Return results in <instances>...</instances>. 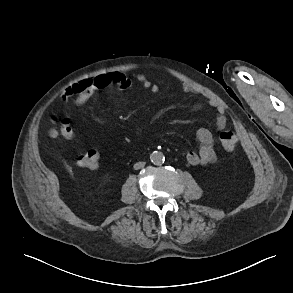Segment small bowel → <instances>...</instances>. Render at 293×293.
I'll list each match as a JSON object with an SVG mask.
<instances>
[{
  "instance_id": "c3829d8e",
  "label": "small bowel",
  "mask_w": 293,
  "mask_h": 293,
  "mask_svg": "<svg viewBox=\"0 0 293 293\" xmlns=\"http://www.w3.org/2000/svg\"><path fill=\"white\" fill-rule=\"evenodd\" d=\"M137 80L152 93L158 92V85L152 83L143 75L137 77ZM131 81L120 72L101 73L92 77L84 78L73 85L69 86L62 94V99L69 100L75 105L81 106L88 102L92 96L104 89L114 88L126 90L130 88ZM181 89L184 92L200 95L202 92L199 88L188 83H182ZM96 121L103 123V120L96 118ZM227 123V117L222 107H217L216 125L218 128H224ZM196 139L199 142L198 151H190L186 155L187 162L191 165H207L215 162L217 158L214 149V139L210 130L200 128L196 132Z\"/></svg>"
}]
</instances>
